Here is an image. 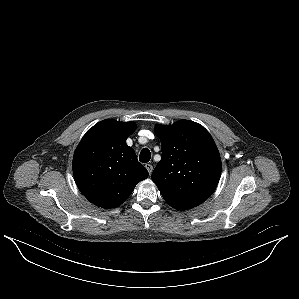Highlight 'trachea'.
Wrapping results in <instances>:
<instances>
[{
  "label": "trachea",
  "mask_w": 299,
  "mask_h": 299,
  "mask_svg": "<svg viewBox=\"0 0 299 299\" xmlns=\"http://www.w3.org/2000/svg\"><path fill=\"white\" fill-rule=\"evenodd\" d=\"M151 158V152L148 148H143L140 152L139 160L142 163H147L149 162Z\"/></svg>",
  "instance_id": "3493384b"
}]
</instances>
